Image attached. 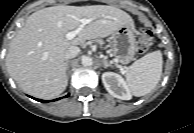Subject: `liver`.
Here are the masks:
<instances>
[{
  "mask_svg": "<svg viewBox=\"0 0 194 133\" xmlns=\"http://www.w3.org/2000/svg\"><path fill=\"white\" fill-rule=\"evenodd\" d=\"M91 22L76 38L66 34L80 26V20ZM124 24L134 25L123 10L107 5H58L32 13L11 40L6 66L11 77L26 93L41 99H52L67 87L65 52L86 40L104 38Z\"/></svg>",
  "mask_w": 194,
  "mask_h": 133,
  "instance_id": "liver-1",
  "label": "liver"
}]
</instances>
